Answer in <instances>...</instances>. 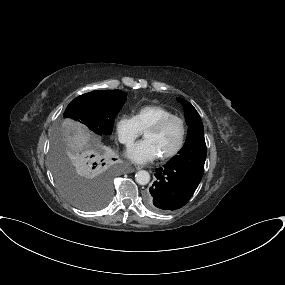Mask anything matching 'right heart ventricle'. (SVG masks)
Here are the masks:
<instances>
[{"label": "right heart ventricle", "instance_id": "right-heart-ventricle-1", "mask_svg": "<svg viewBox=\"0 0 285 285\" xmlns=\"http://www.w3.org/2000/svg\"><path fill=\"white\" fill-rule=\"evenodd\" d=\"M173 113L158 104H148L137 108L133 118L140 131H144L158 120L171 116Z\"/></svg>", "mask_w": 285, "mask_h": 285}]
</instances>
